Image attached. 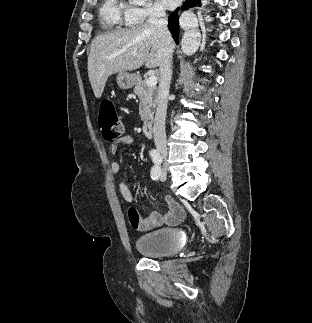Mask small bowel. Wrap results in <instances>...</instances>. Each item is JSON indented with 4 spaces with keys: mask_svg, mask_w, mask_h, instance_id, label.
<instances>
[{
    "mask_svg": "<svg viewBox=\"0 0 312 323\" xmlns=\"http://www.w3.org/2000/svg\"><path fill=\"white\" fill-rule=\"evenodd\" d=\"M133 141L132 136L123 135L120 138L113 141L109 146V152L115 154L120 146L129 145ZM120 164L118 162H112L110 165V171L112 174L120 173ZM119 191L123 199L132 204L135 200L134 193L130 190L128 185L120 180ZM166 203L169 207L168 212L161 214L159 212H151L147 215H141L134 207L129 209V222L131 226L138 231L148 232L163 226H176L183 221L185 212L183 208L177 203V201L171 197L166 199Z\"/></svg>",
    "mask_w": 312,
    "mask_h": 323,
    "instance_id": "obj_1",
    "label": "small bowel"
}]
</instances>
